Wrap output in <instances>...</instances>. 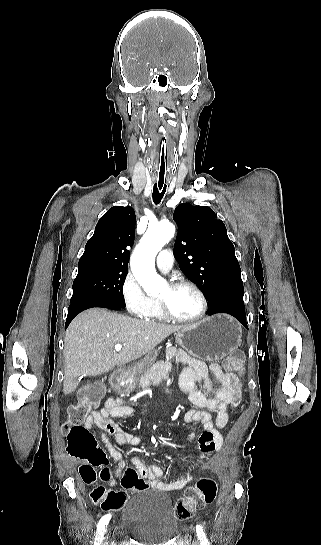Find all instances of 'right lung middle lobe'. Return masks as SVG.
I'll use <instances>...</instances> for the list:
<instances>
[{"label":"right lung middle lobe","instance_id":"right-lung-middle-lobe-1","mask_svg":"<svg viewBox=\"0 0 321 545\" xmlns=\"http://www.w3.org/2000/svg\"><path fill=\"white\" fill-rule=\"evenodd\" d=\"M128 273L126 269L101 266L78 268L73 282L70 305L80 300H98L124 304L123 284Z\"/></svg>","mask_w":321,"mask_h":545}]
</instances>
